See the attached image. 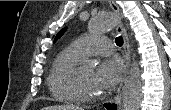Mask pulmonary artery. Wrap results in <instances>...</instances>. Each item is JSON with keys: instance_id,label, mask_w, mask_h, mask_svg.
I'll use <instances>...</instances> for the list:
<instances>
[{"instance_id": "e3ab8cb5", "label": "pulmonary artery", "mask_w": 171, "mask_h": 110, "mask_svg": "<svg viewBox=\"0 0 171 110\" xmlns=\"http://www.w3.org/2000/svg\"><path fill=\"white\" fill-rule=\"evenodd\" d=\"M72 45L83 55H109L113 51L110 40L101 35L84 36L76 39Z\"/></svg>"}]
</instances>
